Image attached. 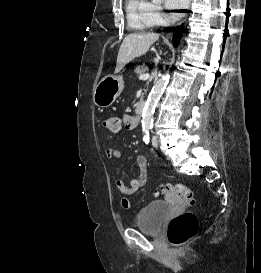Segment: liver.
<instances>
[{
	"instance_id": "1",
	"label": "liver",
	"mask_w": 261,
	"mask_h": 273,
	"mask_svg": "<svg viewBox=\"0 0 261 273\" xmlns=\"http://www.w3.org/2000/svg\"><path fill=\"white\" fill-rule=\"evenodd\" d=\"M158 39V33H132L127 35L119 48L115 73L120 72L134 58L146 54L150 46Z\"/></svg>"
}]
</instances>
